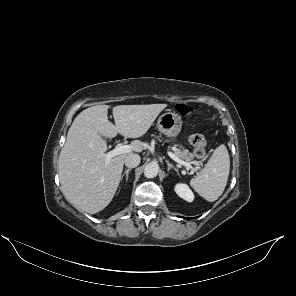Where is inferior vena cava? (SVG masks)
Masks as SVG:
<instances>
[{
    "label": "inferior vena cava",
    "instance_id": "obj_1",
    "mask_svg": "<svg viewBox=\"0 0 296 296\" xmlns=\"http://www.w3.org/2000/svg\"><path fill=\"white\" fill-rule=\"evenodd\" d=\"M141 158L138 154H129L125 158V166L128 168H135L140 164Z\"/></svg>",
    "mask_w": 296,
    "mask_h": 296
}]
</instances>
